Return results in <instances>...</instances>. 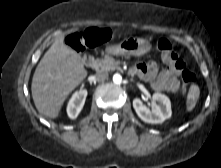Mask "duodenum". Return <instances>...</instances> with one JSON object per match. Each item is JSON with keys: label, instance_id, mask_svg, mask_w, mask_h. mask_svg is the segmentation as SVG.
I'll list each match as a JSON object with an SVG mask.
<instances>
[{"label": "duodenum", "instance_id": "duodenum-1", "mask_svg": "<svg viewBox=\"0 0 221 168\" xmlns=\"http://www.w3.org/2000/svg\"><path fill=\"white\" fill-rule=\"evenodd\" d=\"M83 61H84V64L89 68H94L96 66V60L92 55L84 56Z\"/></svg>", "mask_w": 221, "mask_h": 168}]
</instances>
